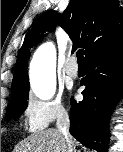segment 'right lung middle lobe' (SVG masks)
<instances>
[{
  "mask_svg": "<svg viewBox=\"0 0 123 152\" xmlns=\"http://www.w3.org/2000/svg\"><path fill=\"white\" fill-rule=\"evenodd\" d=\"M28 91L29 86H25L12 93L8 111L5 116L6 121L17 119L24 112L28 105Z\"/></svg>",
  "mask_w": 123,
  "mask_h": 152,
  "instance_id": "obj_1",
  "label": "right lung middle lobe"
}]
</instances>
